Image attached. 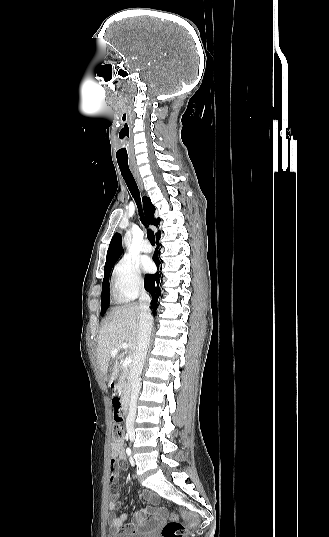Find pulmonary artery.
<instances>
[{
	"label": "pulmonary artery",
	"mask_w": 329,
	"mask_h": 537,
	"mask_svg": "<svg viewBox=\"0 0 329 537\" xmlns=\"http://www.w3.org/2000/svg\"><path fill=\"white\" fill-rule=\"evenodd\" d=\"M140 250L144 253H149L152 251V247L148 241H144L140 246Z\"/></svg>",
	"instance_id": "pulmonary-artery-1"
}]
</instances>
